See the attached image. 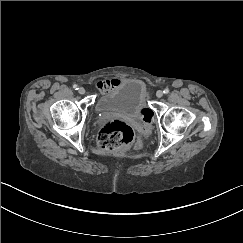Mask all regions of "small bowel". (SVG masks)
Here are the masks:
<instances>
[{
  "label": "small bowel",
  "mask_w": 243,
  "mask_h": 243,
  "mask_svg": "<svg viewBox=\"0 0 243 243\" xmlns=\"http://www.w3.org/2000/svg\"><path fill=\"white\" fill-rule=\"evenodd\" d=\"M121 81L119 79H110V80H106V81H99L97 83V88L103 92V93H107L110 90H112L113 88H115L117 85H119Z\"/></svg>",
  "instance_id": "obj_1"
}]
</instances>
